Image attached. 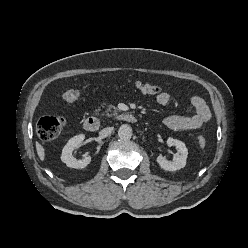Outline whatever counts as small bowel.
<instances>
[{
  "label": "small bowel",
  "instance_id": "1",
  "mask_svg": "<svg viewBox=\"0 0 248 248\" xmlns=\"http://www.w3.org/2000/svg\"><path fill=\"white\" fill-rule=\"evenodd\" d=\"M159 105H167L170 101V94L161 92L156 97ZM191 104L195 113L191 116L170 115L164 119V125L174 130H194L199 129L211 119V111L205 100L200 96H192Z\"/></svg>",
  "mask_w": 248,
  "mask_h": 248
}]
</instances>
